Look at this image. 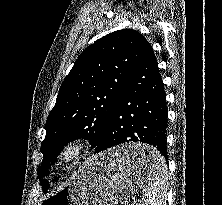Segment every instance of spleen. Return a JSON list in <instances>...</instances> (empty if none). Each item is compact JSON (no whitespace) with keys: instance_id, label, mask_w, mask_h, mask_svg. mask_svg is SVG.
Returning <instances> with one entry per match:
<instances>
[{"instance_id":"3e777b00","label":"spleen","mask_w":222,"mask_h":205,"mask_svg":"<svg viewBox=\"0 0 222 205\" xmlns=\"http://www.w3.org/2000/svg\"><path fill=\"white\" fill-rule=\"evenodd\" d=\"M167 165L165 159L158 153L153 156L149 166L146 185L143 188V198L140 205H166L167 198Z\"/></svg>"}]
</instances>
